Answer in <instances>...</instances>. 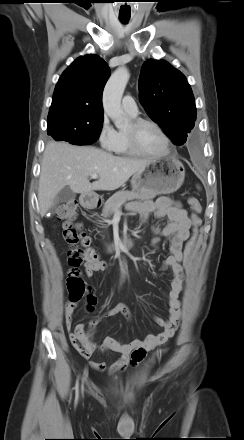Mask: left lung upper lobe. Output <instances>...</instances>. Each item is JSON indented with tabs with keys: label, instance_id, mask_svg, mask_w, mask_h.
<instances>
[{
	"label": "left lung upper lobe",
	"instance_id": "obj_1",
	"mask_svg": "<svg viewBox=\"0 0 244 440\" xmlns=\"http://www.w3.org/2000/svg\"><path fill=\"white\" fill-rule=\"evenodd\" d=\"M139 96L147 114L163 126L174 144L182 145L194 127L196 106L185 76L162 60H147L139 78Z\"/></svg>",
	"mask_w": 244,
	"mask_h": 440
}]
</instances>
